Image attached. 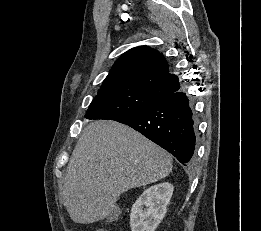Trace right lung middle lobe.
<instances>
[{"instance_id":"obj_1","label":"right lung middle lobe","mask_w":261,"mask_h":231,"mask_svg":"<svg viewBox=\"0 0 261 231\" xmlns=\"http://www.w3.org/2000/svg\"><path fill=\"white\" fill-rule=\"evenodd\" d=\"M158 100L156 95L138 87L99 91L85 117L118 120L137 113Z\"/></svg>"}]
</instances>
